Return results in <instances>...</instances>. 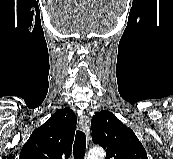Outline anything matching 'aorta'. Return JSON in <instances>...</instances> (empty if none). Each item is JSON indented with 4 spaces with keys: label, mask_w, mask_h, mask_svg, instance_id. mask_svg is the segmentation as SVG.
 <instances>
[{
    "label": "aorta",
    "mask_w": 173,
    "mask_h": 159,
    "mask_svg": "<svg viewBox=\"0 0 173 159\" xmlns=\"http://www.w3.org/2000/svg\"><path fill=\"white\" fill-rule=\"evenodd\" d=\"M105 158V151L100 148H92L88 152L87 159H104Z\"/></svg>",
    "instance_id": "aorta-1"
}]
</instances>
